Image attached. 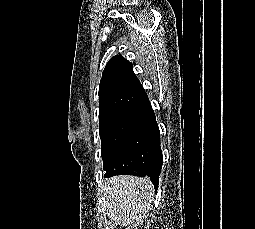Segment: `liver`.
Returning a JSON list of instances; mask_svg holds the SVG:
<instances>
[{
	"instance_id": "6515ba94",
	"label": "liver",
	"mask_w": 255,
	"mask_h": 229,
	"mask_svg": "<svg viewBox=\"0 0 255 229\" xmlns=\"http://www.w3.org/2000/svg\"><path fill=\"white\" fill-rule=\"evenodd\" d=\"M103 191L110 220L127 229L142 222L151 210L154 187L147 178L115 176L105 181Z\"/></svg>"
}]
</instances>
